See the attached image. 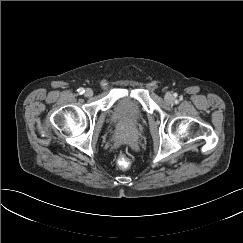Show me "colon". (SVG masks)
Here are the masks:
<instances>
[{
    "label": "colon",
    "mask_w": 243,
    "mask_h": 243,
    "mask_svg": "<svg viewBox=\"0 0 243 243\" xmlns=\"http://www.w3.org/2000/svg\"><path fill=\"white\" fill-rule=\"evenodd\" d=\"M117 163H118V166L121 168V169H128L131 165V162L128 158V156L121 152L118 156V160H117Z\"/></svg>",
    "instance_id": "obj_1"
}]
</instances>
